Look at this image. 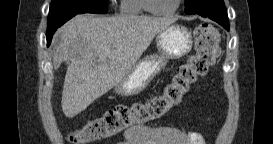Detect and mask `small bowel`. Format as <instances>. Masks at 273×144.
Returning <instances> with one entry per match:
<instances>
[{
  "instance_id": "c3829d8e",
  "label": "small bowel",
  "mask_w": 273,
  "mask_h": 144,
  "mask_svg": "<svg viewBox=\"0 0 273 144\" xmlns=\"http://www.w3.org/2000/svg\"><path fill=\"white\" fill-rule=\"evenodd\" d=\"M117 144H204L201 134L177 127H133Z\"/></svg>"
}]
</instances>
